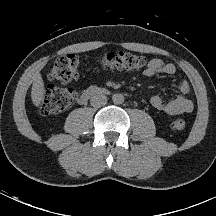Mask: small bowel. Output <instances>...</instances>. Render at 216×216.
<instances>
[{
  "label": "small bowel",
  "mask_w": 216,
  "mask_h": 216,
  "mask_svg": "<svg viewBox=\"0 0 216 216\" xmlns=\"http://www.w3.org/2000/svg\"><path fill=\"white\" fill-rule=\"evenodd\" d=\"M143 73L148 77L155 75L172 76L176 73V67L172 63L165 62L159 58H154L148 62ZM172 86L179 91V95L169 101H164L162 97L158 95L153 96L150 100L151 106L155 110L164 112L168 115L190 113L194 108V103L188 96L190 92L189 83L185 79H182L178 82H173Z\"/></svg>",
  "instance_id": "obj_1"
}]
</instances>
